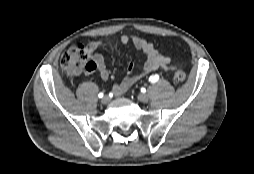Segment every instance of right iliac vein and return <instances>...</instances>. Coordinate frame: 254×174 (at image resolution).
<instances>
[{
    "mask_svg": "<svg viewBox=\"0 0 254 174\" xmlns=\"http://www.w3.org/2000/svg\"><path fill=\"white\" fill-rule=\"evenodd\" d=\"M110 101V98L108 96H104L102 99H101V103L106 105L108 104Z\"/></svg>",
    "mask_w": 254,
    "mask_h": 174,
    "instance_id": "1",
    "label": "right iliac vein"
}]
</instances>
